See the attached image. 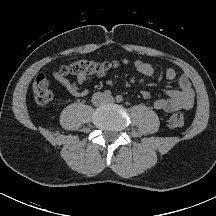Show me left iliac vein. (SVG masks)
Returning a JSON list of instances; mask_svg holds the SVG:
<instances>
[{
	"label": "left iliac vein",
	"mask_w": 216,
	"mask_h": 216,
	"mask_svg": "<svg viewBox=\"0 0 216 216\" xmlns=\"http://www.w3.org/2000/svg\"><path fill=\"white\" fill-rule=\"evenodd\" d=\"M106 101L112 103L114 102V98L113 97L107 98Z\"/></svg>",
	"instance_id": "obj_1"
}]
</instances>
